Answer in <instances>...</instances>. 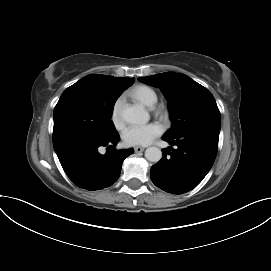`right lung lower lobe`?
<instances>
[{"label": "right lung lower lobe", "instance_id": "1", "mask_svg": "<svg viewBox=\"0 0 271 271\" xmlns=\"http://www.w3.org/2000/svg\"><path fill=\"white\" fill-rule=\"evenodd\" d=\"M120 137L100 136L72 141L56 149L59 161L70 180L80 188L95 191L107 188L118 179L122 162L133 149H114L109 154H100L101 146L111 149Z\"/></svg>", "mask_w": 271, "mask_h": 271}]
</instances>
